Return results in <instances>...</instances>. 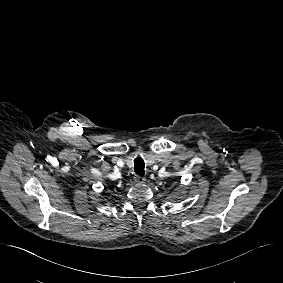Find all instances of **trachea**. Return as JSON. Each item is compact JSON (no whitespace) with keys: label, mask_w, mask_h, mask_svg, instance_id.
I'll return each mask as SVG.
<instances>
[{"label":"trachea","mask_w":283,"mask_h":283,"mask_svg":"<svg viewBox=\"0 0 283 283\" xmlns=\"http://www.w3.org/2000/svg\"><path fill=\"white\" fill-rule=\"evenodd\" d=\"M145 165H144V161L141 157H137L134 160V170L135 173L139 176H143L145 171H144Z\"/></svg>","instance_id":"1"}]
</instances>
